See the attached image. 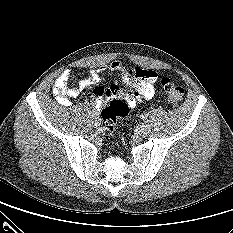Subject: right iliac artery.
Listing matches in <instances>:
<instances>
[{
	"label": "right iliac artery",
	"instance_id": "obj_1",
	"mask_svg": "<svg viewBox=\"0 0 233 233\" xmlns=\"http://www.w3.org/2000/svg\"><path fill=\"white\" fill-rule=\"evenodd\" d=\"M90 116H91L92 118H96V117H97V112H96L95 110L91 111V112H90Z\"/></svg>",
	"mask_w": 233,
	"mask_h": 233
}]
</instances>
